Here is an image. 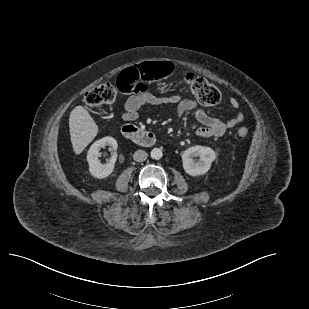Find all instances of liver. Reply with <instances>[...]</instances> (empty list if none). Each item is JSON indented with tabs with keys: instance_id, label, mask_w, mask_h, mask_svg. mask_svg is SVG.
Segmentation results:
<instances>
[{
	"instance_id": "obj_1",
	"label": "liver",
	"mask_w": 309,
	"mask_h": 309,
	"mask_svg": "<svg viewBox=\"0 0 309 309\" xmlns=\"http://www.w3.org/2000/svg\"><path fill=\"white\" fill-rule=\"evenodd\" d=\"M69 128L70 139L75 154H80L98 133L97 124L82 106H76L71 111Z\"/></svg>"
}]
</instances>
